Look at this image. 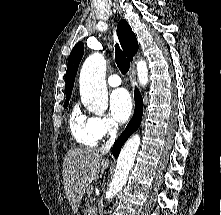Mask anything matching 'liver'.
I'll use <instances>...</instances> for the list:
<instances>
[{"mask_svg":"<svg viewBox=\"0 0 221 215\" xmlns=\"http://www.w3.org/2000/svg\"><path fill=\"white\" fill-rule=\"evenodd\" d=\"M103 156L101 149L93 148L70 149L65 155L63 185L74 213L78 212L86 188L109 166V160Z\"/></svg>","mask_w":221,"mask_h":215,"instance_id":"liver-1","label":"liver"}]
</instances>
